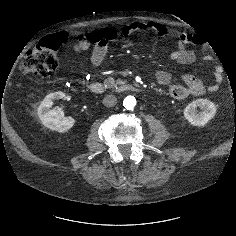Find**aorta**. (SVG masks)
Here are the masks:
<instances>
[{
  "label": "aorta",
  "instance_id": "aorta-1",
  "mask_svg": "<svg viewBox=\"0 0 236 236\" xmlns=\"http://www.w3.org/2000/svg\"><path fill=\"white\" fill-rule=\"evenodd\" d=\"M123 106L127 110H132L136 106V99L133 96L125 97L123 101Z\"/></svg>",
  "mask_w": 236,
  "mask_h": 236
}]
</instances>
